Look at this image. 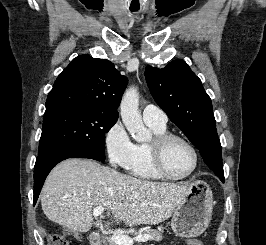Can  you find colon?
Here are the masks:
<instances>
[{
  "label": "colon",
  "instance_id": "obj_1",
  "mask_svg": "<svg viewBox=\"0 0 266 245\" xmlns=\"http://www.w3.org/2000/svg\"><path fill=\"white\" fill-rule=\"evenodd\" d=\"M48 241L49 245H69V242L63 233H49Z\"/></svg>",
  "mask_w": 266,
  "mask_h": 245
}]
</instances>
